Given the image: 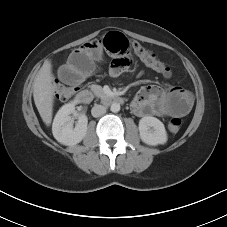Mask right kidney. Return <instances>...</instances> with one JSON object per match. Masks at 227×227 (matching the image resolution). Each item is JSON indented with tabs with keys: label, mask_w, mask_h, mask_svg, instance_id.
<instances>
[{
	"label": "right kidney",
	"mask_w": 227,
	"mask_h": 227,
	"mask_svg": "<svg viewBox=\"0 0 227 227\" xmlns=\"http://www.w3.org/2000/svg\"><path fill=\"white\" fill-rule=\"evenodd\" d=\"M74 112L75 103L71 102L62 106L54 118L52 133L54 138L63 145H76L80 143L87 134L88 120L84 114L79 116L78 123L75 128H73L70 114Z\"/></svg>",
	"instance_id": "obj_1"
}]
</instances>
